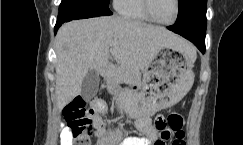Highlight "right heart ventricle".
I'll use <instances>...</instances> for the list:
<instances>
[{"instance_id": "1", "label": "right heart ventricle", "mask_w": 243, "mask_h": 145, "mask_svg": "<svg viewBox=\"0 0 243 145\" xmlns=\"http://www.w3.org/2000/svg\"><path fill=\"white\" fill-rule=\"evenodd\" d=\"M115 8L118 14L126 19L151 22L144 11L142 0H115Z\"/></svg>"}]
</instances>
